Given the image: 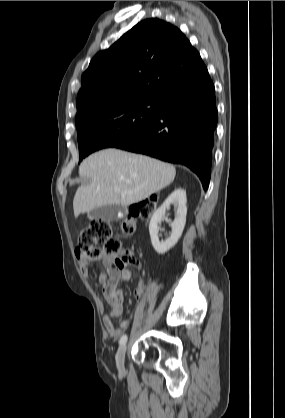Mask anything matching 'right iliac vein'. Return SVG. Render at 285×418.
Instances as JSON below:
<instances>
[{"instance_id":"obj_1","label":"right iliac vein","mask_w":285,"mask_h":418,"mask_svg":"<svg viewBox=\"0 0 285 418\" xmlns=\"http://www.w3.org/2000/svg\"><path fill=\"white\" fill-rule=\"evenodd\" d=\"M127 350V345L121 346L116 354V365L120 371L124 370V359Z\"/></svg>"}]
</instances>
